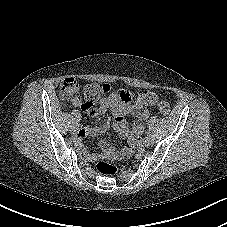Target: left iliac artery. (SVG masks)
I'll return each mask as SVG.
<instances>
[{
  "label": "left iliac artery",
  "instance_id": "left-iliac-artery-1",
  "mask_svg": "<svg viewBox=\"0 0 227 227\" xmlns=\"http://www.w3.org/2000/svg\"><path fill=\"white\" fill-rule=\"evenodd\" d=\"M146 134H147V135H150V132H149V131H146Z\"/></svg>",
  "mask_w": 227,
  "mask_h": 227
}]
</instances>
